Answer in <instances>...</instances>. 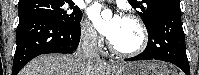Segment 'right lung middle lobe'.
<instances>
[{
    "instance_id": "obj_1",
    "label": "right lung middle lobe",
    "mask_w": 199,
    "mask_h": 75,
    "mask_svg": "<svg viewBox=\"0 0 199 75\" xmlns=\"http://www.w3.org/2000/svg\"><path fill=\"white\" fill-rule=\"evenodd\" d=\"M19 19L42 17L63 27L72 28L82 18V12L72 0H24L18 3Z\"/></svg>"
}]
</instances>
